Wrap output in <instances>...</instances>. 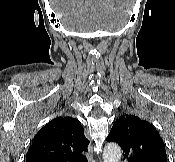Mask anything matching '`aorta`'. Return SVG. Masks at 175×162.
<instances>
[{
    "label": "aorta",
    "mask_w": 175,
    "mask_h": 162,
    "mask_svg": "<svg viewBox=\"0 0 175 162\" xmlns=\"http://www.w3.org/2000/svg\"><path fill=\"white\" fill-rule=\"evenodd\" d=\"M121 148L116 143H108L103 150V162H120Z\"/></svg>",
    "instance_id": "aorta-1"
}]
</instances>
